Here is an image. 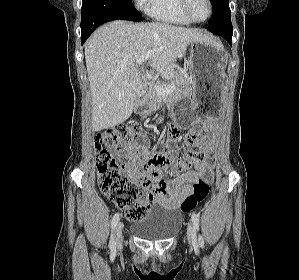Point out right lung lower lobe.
I'll return each mask as SVG.
<instances>
[{
	"mask_svg": "<svg viewBox=\"0 0 299 280\" xmlns=\"http://www.w3.org/2000/svg\"><path fill=\"white\" fill-rule=\"evenodd\" d=\"M116 19L142 21L117 0H83L81 8V44L87 40L98 26Z\"/></svg>",
	"mask_w": 299,
	"mask_h": 280,
	"instance_id": "1",
	"label": "right lung lower lobe"
}]
</instances>
